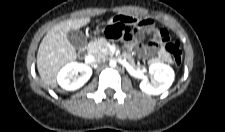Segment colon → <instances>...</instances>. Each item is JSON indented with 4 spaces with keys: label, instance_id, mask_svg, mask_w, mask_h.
<instances>
[{
    "label": "colon",
    "instance_id": "colon-1",
    "mask_svg": "<svg viewBox=\"0 0 225 132\" xmlns=\"http://www.w3.org/2000/svg\"><path fill=\"white\" fill-rule=\"evenodd\" d=\"M159 32L163 37L164 46L171 57V61L176 65H180L182 62L180 44L177 41H171L164 30H160ZM106 34L112 39L131 40L134 37L135 30L130 27H121L113 24L106 28Z\"/></svg>",
    "mask_w": 225,
    "mask_h": 132
}]
</instances>
